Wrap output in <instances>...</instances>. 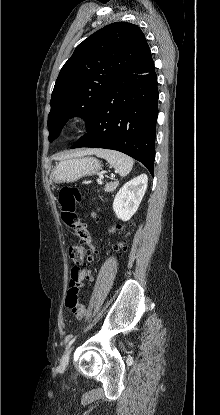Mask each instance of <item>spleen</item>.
Listing matches in <instances>:
<instances>
[{
	"instance_id": "obj_1",
	"label": "spleen",
	"mask_w": 220,
	"mask_h": 415,
	"mask_svg": "<svg viewBox=\"0 0 220 415\" xmlns=\"http://www.w3.org/2000/svg\"><path fill=\"white\" fill-rule=\"evenodd\" d=\"M97 157L103 158L119 173L120 176H127L132 170L134 161L131 157L114 150L99 149L95 151Z\"/></svg>"
}]
</instances>
